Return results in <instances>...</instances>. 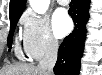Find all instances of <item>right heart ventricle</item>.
Returning a JSON list of instances; mask_svg holds the SVG:
<instances>
[{"label": "right heart ventricle", "mask_w": 102, "mask_h": 75, "mask_svg": "<svg viewBox=\"0 0 102 75\" xmlns=\"http://www.w3.org/2000/svg\"><path fill=\"white\" fill-rule=\"evenodd\" d=\"M16 54L19 58H25V54H24V51L21 50L19 47L16 48Z\"/></svg>", "instance_id": "e07e8e85"}]
</instances>
